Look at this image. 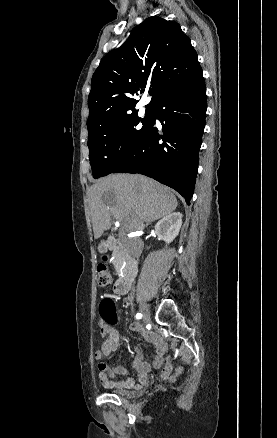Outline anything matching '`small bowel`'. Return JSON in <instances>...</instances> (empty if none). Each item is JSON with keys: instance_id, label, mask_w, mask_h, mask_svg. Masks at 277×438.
Returning a JSON list of instances; mask_svg holds the SVG:
<instances>
[{"instance_id": "1", "label": "small bowel", "mask_w": 277, "mask_h": 438, "mask_svg": "<svg viewBox=\"0 0 277 438\" xmlns=\"http://www.w3.org/2000/svg\"><path fill=\"white\" fill-rule=\"evenodd\" d=\"M129 331L135 330L136 333H138V335L140 337H147L146 341L149 344L154 343V341H157V338H154V336L156 335V328L154 326H149V325H138V326H130L128 327ZM101 335L104 337V341L101 345V349L97 348L95 350V353L97 354L95 356V361L97 362V366H98V374L100 376L101 382L105 387H111V386H117L118 388H142L146 383H147V379H148V375L151 371V367L150 365H148L147 363H145L142 358L137 355L136 359L134 360V366L138 369L139 373H140V378H139V382L136 384L133 379L131 378H124V379H119L116 382L112 381L109 376L112 375H126V370L119 367L118 364L113 363L110 366V369H108L107 364H105V361L103 360V356H108L110 355L112 352H115L120 345V332L117 328L114 327H105L102 329ZM164 347H166V344H164L163 342H158L157 343V350H158V359H161V357L165 356V351L162 350ZM133 350L135 352H138L140 350V347L138 345H135L133 347ZM166 367L171 368L174 365L173 360L168 359L165 362ZM156 366L157 367H162L163 366V361L162 360H157L156 361ZM162 377L164 378H168L169 377V373L167 371L162 372Z\"/></svg>"}]
</instances>
